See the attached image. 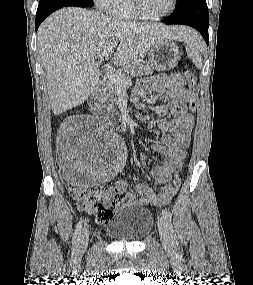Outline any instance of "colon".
<instances>
[{
  "instance_id": "1",
  "label": "colon",
  "mask_w": 253,
  "mask_h": 285,
  "mask_svg": "<svg viewBox=\"0 0 253 285\" xmlns=\"http://www.w3.org/2000/svg\"><path fill=\"white\" fill-rule=\"evenodd\" d=\"M189 90L193 93L190 98V109L194 111L196 108V97L194 90L196 86V76L185 71ZM60 165L64 164L63 160L59 161ZM60 172L64 171L63 167L59 168ZM62 180H71V176L62 175ZM70 194L75 203L84 211L93 214L97 222L106 224L113 218L116 206L126 198V192L114 187L104 190L85 189L77 186H70Z\"/></svg>"
}]
</instances>
